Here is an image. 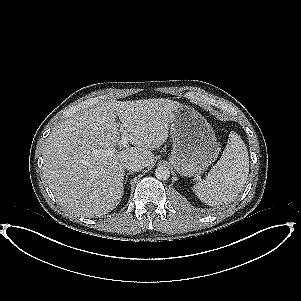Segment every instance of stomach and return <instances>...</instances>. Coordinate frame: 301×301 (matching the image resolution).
I'll return each mask as SVG.
<instances>
[{
    "instance_id": "1",
    "label": "stomach",
    "mask_w": 301,
    "mask_h": 301,
    "mask_svg": "<svg viewBox=\"0 0 301 301\" xmlns=\"http://www.w3.org/2000/svg\"><path fill=\"white\" fill-rule=\"evenodd\" d=\"M170 162L185 177L204 173L215 162L220 147L212 128L196 114L179 111L171 124Z\"/></svg>"
}]
</instances>
